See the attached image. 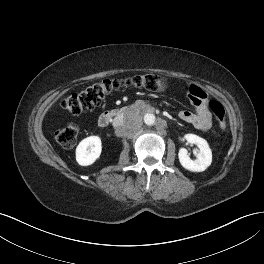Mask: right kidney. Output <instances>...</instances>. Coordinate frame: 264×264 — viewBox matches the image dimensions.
Returning a JSON list of instances; mask_svg holds the SVG:
<instances>
[{"label":"right kidney","mask_w":264,"mask_h":264,"mask_svg":"<svg viewBox=\"0 0 264 264\" xmlns=\"http://www.w3.org/2000/svg\"><path fill=\"white\" fill-rule=\"evenodd\" d=\"M101 139L98 136H89L83 139L76 148V161L81 166L93 164L102 151Z\"/></svg>","instance_id":"ca27d5eb"}]
</instances>
